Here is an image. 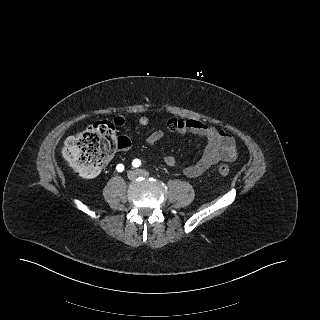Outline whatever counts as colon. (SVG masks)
Returning a JSON list of instances; mask_svg holds the SVG:
<instances>
[{"label": "colon", "instance_id": "1", "mask_svg": "<svg viewBox=\"0 0 320 320\" xmlns=\"http://www.w3.org/2000/svg\"><path fill=\"white\" fill-rule=\"evenodd\" d=\"M130 140L117 136L115 126L110 121H98L89 125L84 131L69 137L62 149L63 156L82 177L97 175L116 148H128ZM218 173L227 176L230 168L220 165Z\"/></svg>", "mask_w": 320, "mask_h": 320}]
</instances>
